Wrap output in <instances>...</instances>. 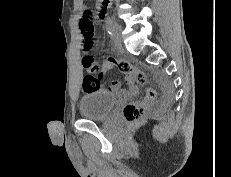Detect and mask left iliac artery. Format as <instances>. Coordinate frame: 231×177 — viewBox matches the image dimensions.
<instances>
[{"label":"left iliac artery","mask_w":231,"mask_h":177,"mask_svg":"<svg viewBox=\"0 0 231 177\" xmlns=\"http://www.w3.org/2000/svg\"><path fill=\"white\" fill-rule=\"evenodd\" d=\"M105 22H106V30H107V32H108L109 34H111V33H112L113 21H112V19H111L109 16H107Z\"/></svg>","instance_id":"44dca946"}]
</instances>
